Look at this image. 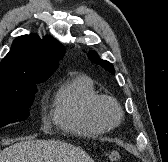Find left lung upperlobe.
Segmentation results:
<instances>
[{"label": "left lung upper lobe", "mask_w": 168, "mask_h": 162, "mask_svg": "<svg viewBox=\"0 0 168 162\" xmlns=\"http://www.w3.org/2000/svg\"><path fill=\"white\" fill-rule=\"evenodd\" d=\"M88 58L93 62L96 63L98 65H100L101 67H103L105 70H107L108 72H110L111 74H115V70L113 65L106 61V60H102L100 59L95 51H89L88 52Z\"/></svg>", "instance_id": "1"}]
</instances>
